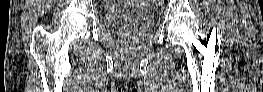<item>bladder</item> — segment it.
Returning <instances> with one entry per match:
<instances>
[{
    "label": "bladder",
    "instance_id": "1",
    "mask_svg": "<svg viewBox=\"0 0 263 92\" xmlns=\"http://www.w3.org/2000/svg\"><path fill=\"white\" fill-rule=\"evenodd\" d=\"M104 25L120 34L141 33L154 24V15L147 8L114 9L104 13Z\"/></svg>",
    "mask_w": 263,
    "mask_h": 92
}]
</instances>
